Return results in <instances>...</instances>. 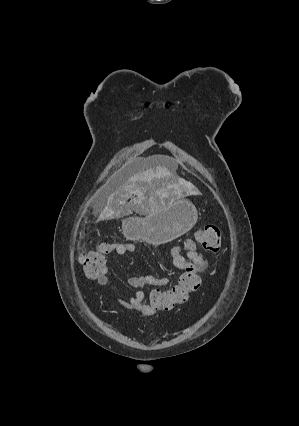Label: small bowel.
I'll use <instances>...</instances> for the list:
<instances>
[{"mask_svg":"<svg viewBox=\"0 0 299 426\" xmlns=\"http://www.w3.org/2000/svg\"><path fill=\"white\" fill-rule=\"evenodd\" d=\"M135 245L132 243H112L109 245L108 254L116 253L118 255H124L127 253L135 252ZM172 257L174 265L183 270L188 263L195 264L199 271H205L207 269V262L195 251H188L186 256L182 255L179 247L172 249ZM96 281L101 286H107L111 284V279L108 276V265L105 262L101 273L96 277ZM170 283V278L157 277L151 274L135 275L128 278V284L136 289L134 295L123 299L118 298L117 301L120 305L124 306L129 310L139 311L144 315L151 316L157 313L159 310L154 308L147 302L146 292L143 290L146 286L165 287Z\"/></svg>","mask_w":299,"mask_h":426,"instance_id":"obj_1","label":"small bowel"}]
</instances>
